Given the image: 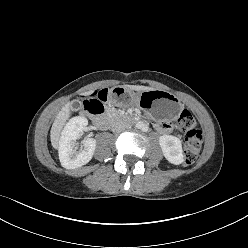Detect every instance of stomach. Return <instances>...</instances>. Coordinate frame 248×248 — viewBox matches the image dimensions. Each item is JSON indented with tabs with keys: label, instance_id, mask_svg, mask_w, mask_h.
Masks as SVG:
<instances>
[{
	"label": "stomach",
	"instance_id": "obj_1",
	"mask_svg": "<svg viewBox=\"0 0 248 248\" xmlns=\"http://www.w3.org/2000/svg\"><path fill=\"white\" fill-rule=\"evenodd\" d=\"M114 90V98L118 105L127 107L137 103L141 110L154 119H173L181 110L179 99L166 91L150 90L135 94L125 86L116 87Z\"/></svg>",
	"mask_w": 248,
	"mask_h": 248
}]
</instances>
